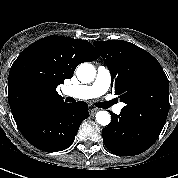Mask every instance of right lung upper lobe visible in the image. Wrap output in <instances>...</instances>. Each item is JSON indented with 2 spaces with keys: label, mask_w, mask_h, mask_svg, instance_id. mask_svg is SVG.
Listing matches in <instances>:
<instances>
[{
  "label": "right lung upper lobe",
  "mask_w": 178,
  "mask_h": 178,
  "mask_svg": "<svg viewBox=\"0 0 178 178\" xmlns=\"http://www.w3.org/2000/svg\"><path fill=\"white\" fill-rule=\"evenodd\" d=\"M99 54L91 43L64 36L44 37L29 45L13 63L8 77V100L14 120L30 110L63 102L56 91L76 67Z\"/></svg>",
  "instance_id": "right-lung-upper-lobe-1"
}]
</instances>
